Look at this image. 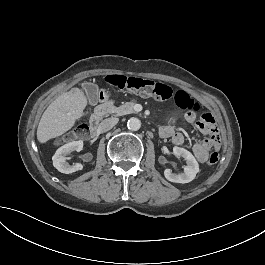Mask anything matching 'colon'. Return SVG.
I'll return each mask as SVG.
<instances>
[{
    "label": "colon",
    "mask_w": 265,
    "mask_h": 265,
    "mask_svg": "<svg viewBox=\"0 0 265 265\" xmlns=\"http://www.w3.org/2000/svg\"><path fill=\"white\" fill-rule=\"evenodd\" d=\"M105 82L110 86L128 91L137 96L153 97L158 100H173L179 108L194 114L200 111V103L194 100L187 92L175 90L163 82L123 74H110L106 77ZM67 137L71 138L72 133H69ZM218 160L219 154L217 152H212L208 157L209 164H215Z\"/></svg>",
    "instance_id": "5ec220e1"
}]
</instances>
